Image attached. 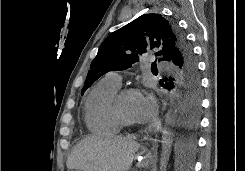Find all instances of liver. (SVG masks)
<instances>
[{
	"label": "liver",
	"mask_w": 245,
	"mask_h": 171,
	"mask_svg": "<svg viewBox=\"0 0 245 171\" xmlns=\"http://www.w3.org/2000/svg\"><path fill=\"white\" fill-rule=\"evenodd\" d=\"M139 148L121 136H89L77 144L66 165L79 171H128Z\"/></svg>",
	"instance_id": "obj_1"
}]
</instances>
